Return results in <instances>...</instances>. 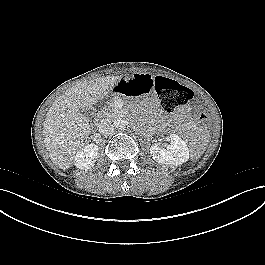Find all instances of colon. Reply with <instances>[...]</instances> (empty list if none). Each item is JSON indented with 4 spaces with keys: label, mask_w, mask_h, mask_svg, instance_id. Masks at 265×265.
I'll return each instance as SVG.
<instances>
[{
    "label": "colon",
    "mask_w": 265,
    "mask_h": 265,
    "mask_svg": "<svg viewBox=\"0 0 265 265\" xmlns=\"http://www.w3.org/2000/svg\"><path fill=\"white\" fill-rule=\"evenodd\" d=\"M154 86L162 107L167 112L174 111L177 107L187 104L192 99L191 90L175 80L159 76L155 78ZM195 120L198 125L205 129L211 125L209 112L205 108L196 111Z\"/></svg>",
    "instance_id": "1"
}]
</instances>
